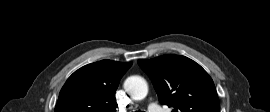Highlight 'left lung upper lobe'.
Returning a JSON list of instances; mask_svg holds the SVG:
<instances>
[{"instance_id": "1", "label": "left lung upper lobe", "mask_w": 270, "mask_h": 112, "mask_svg": "<svg viewBox=\"0 0 270 112\" xmlns=\"http://www.w3.org/2000/svg\"><path fill=\"white\" fill-rule=\"evenodd\" d=\"M138 63L152 79L160 103L172 112H220L213 80L193 60L163 55Z\"/></svg>"}]
</instances>
